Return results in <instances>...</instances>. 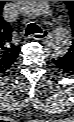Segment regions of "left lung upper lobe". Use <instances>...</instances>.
I'll use <instances>...</instances> for the list:
<instances>
[{
  "label": "left lung upper lobe",
  "mask_w": 74,
  "mask_h": 122,
  "mask_svg": "<svg viewBox=\"0 0 74 122\" xmlns=\"http://www.w3.org/2000/svg\"><path fill=\"white\" fill-rule=\"evenodd\" d=\"M66 2L71 12V27H72L73 37H74V1H66ZM65 56H68L69 58L74 59V39L72 41V45L69 51L67 52Z\"/></svg>",
  "instance_id": "5c2ea615"
}]
</instances>
